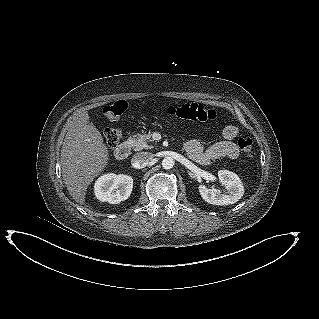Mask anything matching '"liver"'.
I'll use <instances>...</instances> for the list:
<instances>
[{
    "instance_id": "liver-1",
    "label": "liver",
    "mask_w": 319,
    "mask_h": 319,
    "mask_svg": "<svg viewBox=\"0 0 319 319\" xmlns=\"http://www.w3.org/2000/svg\"><path fill=\"white\" fill-rule=\"evenodd\" d=\"M89 118L87 111L73 118L61 147L62 177L79 204L85 203L88 186L106 167L109 156L101 132Z\"/></svg>"
}]
</instances>
